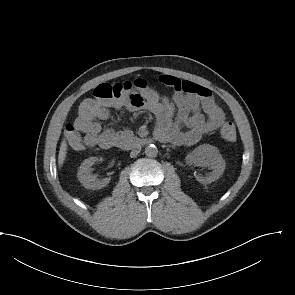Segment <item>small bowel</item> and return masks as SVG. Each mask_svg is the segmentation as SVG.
<instances>
[{
    "mask_svg": "<svg viewBox=\"0 0 295 295\" xmlns=\"http://www.w3.org/2000/svg\"><path fill=\"white\" fill-rule=\"evenodd\" d=\"M160 81L174 90L172 100L150 88L98 104L90 114H79L67 126L66 137L71 148L81 151L87 147L115 146L117 138L126 132L102 130L100 121L109 117V108L151 112L156 118L155 137L177 146L194 145L222 126L225 115L209 89L171 75L161 76Z\"/></svg>",
    "mask_w": 295,
    "mask_h": 295,
    "instance_id": "obj_1",
    "label": "small bowel"
}]
</instances>
